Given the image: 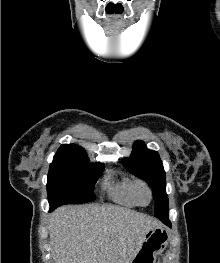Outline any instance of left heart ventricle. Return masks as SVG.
Instances as JSON below:
<instances>
[{
    "label": "left heart ventricle",
    "mask_w": 220,
    "mask_h": 263,
    "mask_svg": "<svg viewBox=\"0 0 220 263\" xmlns=\"http://www.w3.org/2000/svg\"><path fill=\"white\" fill-rule=\"evenodd\" d=\"M147 200V196L145 194L142 195V201L145 202Z\"/></svg>",
    "instance_id": "b2bd125f"
}]
</instances>
